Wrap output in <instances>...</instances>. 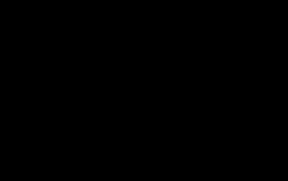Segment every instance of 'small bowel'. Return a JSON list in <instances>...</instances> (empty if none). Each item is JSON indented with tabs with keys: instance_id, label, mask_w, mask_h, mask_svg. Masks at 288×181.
Here are the masks:
<instances>
[{
	"instance_id": "obj_1",
	"label": "small bowel",
	"mask_w": 288,
	"mask_h": 181,
	"mask_svg": "<svg viewBox=\"0 0 288 181\" xmlns=\"http://www.w3.org/2000/svg\"><path fill=\"white\" fill-rule=\"evenodd\" d=\"M198 52H194V55H197ZM219 63H222V64H225V60L223 58H221L220 62ZM209 83V80L207 78H204L203 79V84L206 85Z\"/></svg>"
}]
</instances>
